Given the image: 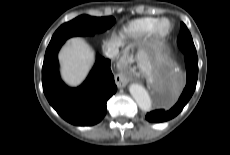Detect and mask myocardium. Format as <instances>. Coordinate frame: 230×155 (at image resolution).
Listing matches in <instances>:
<instances>
[{
    "label": "myocardium",
    "instance_id": "f54148a6",
    "mask_svg": "<svg viewBox=\"0 0 230 155\" xmlns=\"http://www.w3.org/2000/svg\"><path fill=\"white\" fill-rule=\"evenodd\" d=\"M165 24L168 25L167 29L163 28ZM172 31H173V22L169 18L163 17L158 19L157 22L155 23L152 30V34L158 39H164L168 37L172 33Z\"/></svg>",
    "mask_w": 230,
    "mask_h": 155
}]
</instances>
